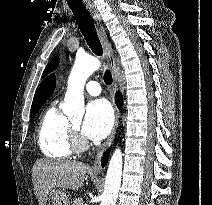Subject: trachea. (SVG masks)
<instances>
[{"instance_id": "3493384b", "label": "trachea", "mask_w": 212, "mask_h": 205, "mask_svg": "<svg viewBox=\"0 0 212 205\" xmlns=\"http://www.w3.org/2000/svg\"><path fill=\"white\" fill-rule=\"evenodd\" d=\"M70 9L73 12L76 23L82 32L88 46L91 48L93 53L98 56H102L103 49L98 38L95 25L91 19L89 11L83 4H69ZM112 75L109 70L104 73V82L106 85L112 84Z\"/></svg>"}]
</instances>
